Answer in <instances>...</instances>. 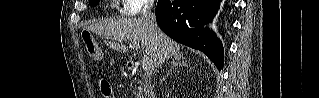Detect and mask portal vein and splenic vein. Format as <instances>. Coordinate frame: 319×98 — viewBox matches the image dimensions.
Wrapping results in <instances>:
<instances>
[{
  "label": "portal vein and splenic vein",
  "instance_id": "18ae733b",
  "mask_svg": "<svg viewBox=\"0 0 319 98\" xmlns=\"http://www.w3.org/2000/svg\"><path fill=\"white\" fill-rule=\"evenodd\" d=\"M132 45L135 49L140 48V44L138 42L133 41ZM142 68L144 71H150L153 68V62L150 58H145L142 63Z\"/></svg>",
  "mask_w": 319,
  "mask_h": 98
}]
</instances>
